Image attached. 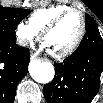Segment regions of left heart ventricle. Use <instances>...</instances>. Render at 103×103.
I'll list each match as a JSON object with an SVG mask.
<instances>
[{"label":"left heart ventricle","mask_w":103,"mask_h":103,"mask_svg":"<svg viewBox=\"0 0 103 103\" xmlns=\"http://www.w3.org/2000/svg\"><path fill=\"white\" fill-rule=\"evenodd\" d=\"M81 29V19L77 13L66 16L59 25L49 32L43 41L52 52H60L69 47Z\"/></svg>","instance_id":"1"}]
</instances>
